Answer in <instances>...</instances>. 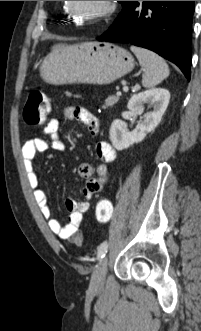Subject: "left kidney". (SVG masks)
<instances>
[{
    "mask_svg": "<svg viewBox=\"0 0 201 331\" xmlns=\"http://www.w3.org/2000/svg\"><path fill=\"white\" fill-rule=\"evenodd\" d=\"M170 100V92L163 88H153L131 97L127 108L135 113L141 114L145 105L153 107V110L144 115L143 121L139 122L133 131L127 129L126 124L119 119L113 121L110 128V140L117 150H123L134 143L144 140L147 133L153 131L160 123Z\"/></svg>",
    "mask_w": 201,
    "mask_h": 331,
    "instance_id": "obj_1",
    "label": "left kidney"
}]
</instances>
